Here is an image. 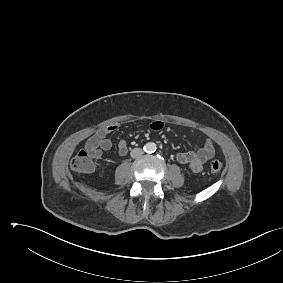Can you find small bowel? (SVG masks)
I'll return each instance as SVG.
<instances>
[{
  "mask_svg": "<svg viewBox=\"0 0 283 283\" xmlns=\"http://www.w3.org/2000/svg\"><path fill=\"white\" fill-rule=\"evenodd\" d=\"M163 127L161 121H154L151 124L153 130H160ZM118 125H109L96 133H94L86 142L87 148L93 157H99L103 152L110 150L113 142L108 138V134L117 131ZM128 147L125 139L118 142V153L122 156L126 155ZM215 150L211 140H206L201 148L196 150L180 152L176 155L177 161L188 167L193 172H201L206 163L214 156Z\"/></svg>",
  "mask_w": 283,
  "mask_h": 283,
  "instance_id": "1",
  "label": "small bowel"
}]
</instances>
